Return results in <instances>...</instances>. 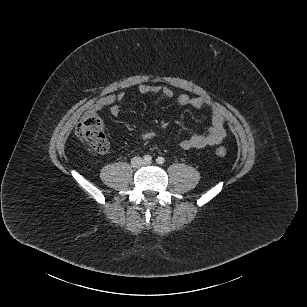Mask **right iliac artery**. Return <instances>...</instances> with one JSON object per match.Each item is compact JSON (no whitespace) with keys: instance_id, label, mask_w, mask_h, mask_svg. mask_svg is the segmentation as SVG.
Segmentation results:
<instances>
[{"instance_id":"right-iliac-artery-1","label":"right iliac artery","mask_w":307,"mask_h":307,"mask_svg":"<svg viewBox=\"0 0 307 307\" xmlns=\"http://www.w3.org/2000/svg\"><path fill=\"white\" fill-rule=\"evenodd\" d=\"M143 160L146 162V163H151L152 161V157L150 155H145L143 157Z\"/></svg>"}]
</instances>
